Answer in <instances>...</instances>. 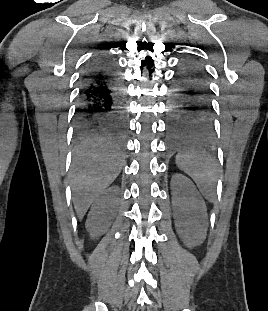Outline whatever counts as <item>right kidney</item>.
Wrapping results in <instances>:
<instances>
[{
	"label": "right kidney",
	"instance_id": "obj_1",
	"mask_svg": "<svg viewBox=\"0 0 268 311\" xmlns=\"http://www.w3.org/2000/svg\"><path fill=\"white\" fill-rule=\"evenodd\" d=\"M120 201V189L114 185L105 190L92 204L86 229L92 237L104 234L114 219Z\"/></svg>",
	"mask_w": 268,
	"mask_h": 311
}]
</instances>
